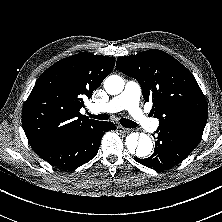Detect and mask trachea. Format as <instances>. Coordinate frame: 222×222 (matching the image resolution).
Instances as JSON below:
<instances>
[{"label": "trachea", "instance_id": "1", "mask_svg": "<svg viewBox=\"0 0 222 222\" xmlns=\"http://www.w3.org/2000/svg\"><path fill=\"white\" fill-rule=\"evenodd\" d=\"M88 115L91 118L98 119V120H108L110 118V115H108L106 113L98 114V115H93V114L88 113ZM120 123L122 124V126H124L126 128H135L138 126L136 123H134L133 121L126 119V118H121Z\"/></svg>", "mask_w": 222, "mask_h": 222}]
</instances>
